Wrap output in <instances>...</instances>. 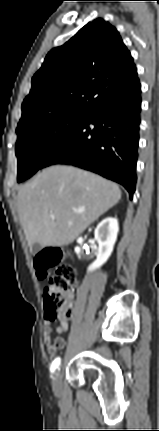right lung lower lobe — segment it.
I'll return each instance as SVG.
<instances>
[{
  "label": "right lung lower lobe",
  "instance_id": "right-lung-lower-lobe-1",
  "mask_svg": "<svg viewBox=\"0 0 159 431\" xmlns=\"http://www.w3.org/2000/svg\"><path fill=\"white\" fill-rule=\"evenodd\" d=\"M140 91L137 79L96 106L46 157L42 168L69 164L98 173L123 185L132 199L136 186Z\"/></svg>",
  "mask_w": 159,
  "mask_h": 431
}]
</instances>
